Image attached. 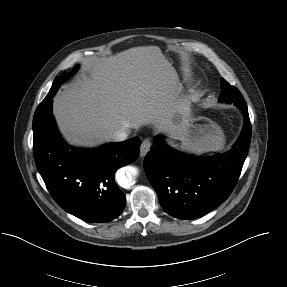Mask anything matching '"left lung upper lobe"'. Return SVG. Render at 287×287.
Returning <instances> with one entry per match:
<instances>
[{
	"mask_svg": "<svg viewBox=\"0 0 287 287\" xmlns=\"http://www.w3.org/2000/svg\"><path fill=\"white\" fill-rule=\"evenodd\" d=\"M220 102L234 103L235 105L246 103L242 94L237 88L231 86L225 79L221 78Z\"/></svg>",
	"mask_w": 287,
	"mask_h": 287,
	"instance_id": "1",
	"label": "left lung upper lobe"
}]
</instances>
